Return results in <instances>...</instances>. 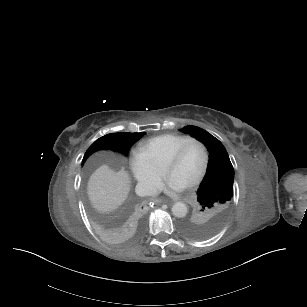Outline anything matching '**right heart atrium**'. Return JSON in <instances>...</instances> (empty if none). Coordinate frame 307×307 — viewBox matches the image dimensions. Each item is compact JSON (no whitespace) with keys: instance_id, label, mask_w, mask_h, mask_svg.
I'll list each match as a JSON object with an SVG mask.
<instances>
[{"instance_id":"right-heart-atrium-1","label":"right heart atrium","mask_w":307,"mask_h":307,"mask_svg":"<svg viewBox=\"0 0 307 307\" xmlns=\"http://www.w3.org/2000/svg\"><path fill=\"white\" fill-rule=\"evenodd\" d=\"M129 166L139 184L152 183L163 176V167L138 147H132L130 150Z\"/></svg>"}]
</instances>
